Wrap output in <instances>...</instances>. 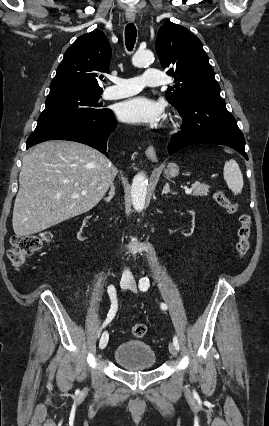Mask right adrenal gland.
Wrapping results in <instances>:
<instances>
[{"instance_id": "2a0ac1e0", "label": "right adrenal gland", "mask_w": 269, "mask_h": 426, "mask_svg": "<svg viewBox=\"0 0 269 426\" xmlns=\"http://www.w3.org/2000/svg\"><path fill=\"white\" fill-rule=\"evenodd\" d=\"M114 195H115V186L114 184H111L108 197L104 198V200L109 203L113 199Z\"/></svg>"}]
</instances>
